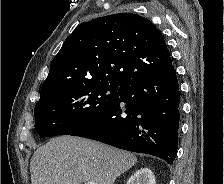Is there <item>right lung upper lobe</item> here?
Returning <instances> with one entry per match:
<instances>
[{
	"label": "right lung upper lobe",
	"mask_w": 224,
	"mask_h": 184,
	"mask_svg": "<svg viewBox=\"0 0 224 184\" xmlns=\"http://www.w3.org/2000/svg\"><path fill=\"white\" fill-rule=\"evenodd\" d=\"M172 69L165 40L147 18L132 13L100 17L80 24L66 38L39 102L83 83L124 85Z\"/></svg>",
	"instance_id": "obj_1"
}]
</instances>
